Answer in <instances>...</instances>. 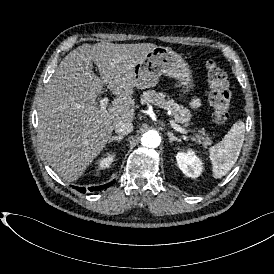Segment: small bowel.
<instances>
[{"label":"small bowel","mask_w":274,"mask_h":274,"mask_svg":"<svg viewBox=\"0 0 274 274\" xmlns=\"http://www.w3.org/2000/svg\"><path fill=\"white\" fill-rule=\"evenodd\" d=\"M191 107L197 108L199 106V100L197 98H193L190 102Z\"/></svg>","instance_id":"1"}]
</instances>
